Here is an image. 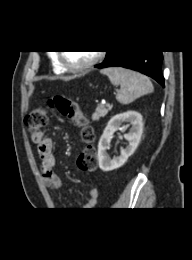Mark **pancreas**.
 Segmentation results:
<instances>
[{"label": "pancreas", "instance_id": "obj_1", "mask_svg": "<svg viewBox=\"0 0 192 260\" xmlns=\"http://www.w3.org/2000/svg\"><path fill=\"white\" fill-rule=\"evenodd\" d=\"M110 110L111 106L104 107L103 105H98V107L92 115V120H99L101 117L106 116Z\"/></svg>", "mask_w": 192, "mask_h": 260}]
</instances>
